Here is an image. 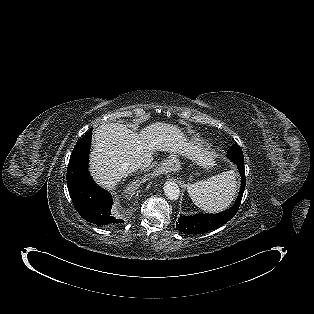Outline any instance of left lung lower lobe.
Masks as SVG:
<instances>
[{
  "label": "left lung lower lobe",
  "instance_id": "obj_1",
  "mask_svg": "<svg viewBox=\"0 0 314 314\" xmlns=\"http://www.w3.org/2000/svg\"><path fill=\"white\" fill-rule=\"evenodd\" d=\"M234 162L237 164L239 172L241 174V189L235 204L227 211L219 214H197L194 216L180 215V218L176 223V228L178 229V231L190 234H201L221 227L235 215V213L239 209L245 189V170L244 161Z\"/></svg>",
  "mask_w": 314,
  "mask_h": 314
}]
</instances>
